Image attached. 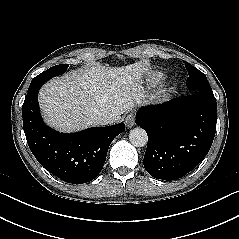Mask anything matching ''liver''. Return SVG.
Returning a JSON list of instances; mask_svg holds the SVG:
<instances>
[{"instance_id": "liver-1", "label": "liver", "mask_w": 239, "mask_h": 239, "mask_svg": "<svg viewBox=\"0 0 239 239\" xmlns=\"http://www.w3.org/2000/svg\"><path fill=\"white\" fill-rule=\"evenodd\" d=\"M141 63L123 67L94 64L53 78L39 93L47 124L62 132L97 126L99 114L121 119V114L142 103L144 87Z\"/></svg>"}]
</instances>
